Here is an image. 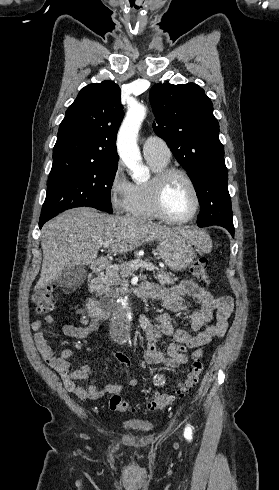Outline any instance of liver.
<instances>
[{"label":"liver","instance_id":"liver-1","mask_svg":"<svg viewBox=\"0 0 279 490\" xmlns=\"http://www.w3.org/2000/svg\"><path fill=\"white\" fill-rule=\"evenodd\" d=\"M43 232L42 270L35 290L46 288L69 266H89L97 262L98 252L107 242L110 254H127L144 242H162L180 234L202 250V234L196 228H166L147 224L141 218L98 214L94 208L66 210L47 222Z\"/></svg>","mask_w":279,"mask_h":490}]
</instances>
